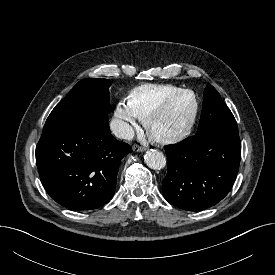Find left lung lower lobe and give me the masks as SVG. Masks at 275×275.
<instances>
[{"mask_svg": "<svg viewBox=\"0 0 275 275\" xmlns=\"http://www.w3.org/2000/svg\"><path fill=\"white\" fill-rule=\"evenodd\" d=\"M163 196L188 211L207 209L231 190L241 159L239 136L186 138L166 149Z\"/></svg>", "mask_w": 275, "mask_h": 275, "instance_id": "left-lung-lower-lobe-1", "label": "left lung lower lobe"}]
</instances>
